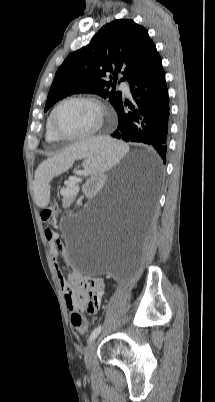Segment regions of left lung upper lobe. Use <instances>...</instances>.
Masks as SVG:
<instances>
[{
  "instance_id": "1",
  "label": "left lung upper lobe",
  "mask_w": 215,
  "mask_h": 402,
  "mask_svg": "<svg viewBox=\"0 0 215 402\" xmlns=\"http://www.w3.org/2000/svg\"><path fill=\"white\" fill-rule=\"evenodd\" d=\"M158 57L156 46L143 26L131 19L108 23L87 46L71 53L59 67L45 111L75 93L98 94L108 98L116 108L122 101V93L114 90L117 75L121 73L123 80L129 81ZM106 74L113 75V82L104 80ZM110 87L113 89L109 90Z\"/></svg>"
}]
</instances>
